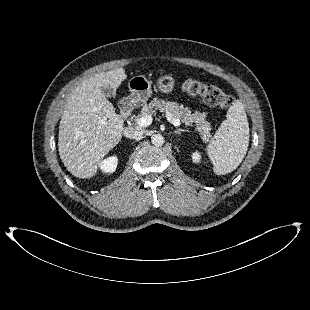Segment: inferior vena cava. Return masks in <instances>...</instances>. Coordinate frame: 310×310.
Masks as SVG:
<instances>
[{
  "label": "inferior vena cava",
  "mask_w": 310,
  "mask_h": 310,
  "mask_svg": "<svg viewBox=\"0 0 310 310\" xmlns=\"http://www.w3.org/2000/svg\"><path fill=\"white\" fill-rule=\"evenodd\" d=\"M143 132L134 128H126L124 130V136L130 139H139Z\"/></svg>",
  "instance_id": "602c4592"
}]
</instances>
